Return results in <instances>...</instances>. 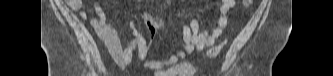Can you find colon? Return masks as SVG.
Segmentation results:
<instances>
[{"label":"colon","instance_id":"obj_1","mask_svg":"<svg viewBox=\"0 0 333 76\" xmlns=\"http://www.w3.org/2000/svg\"><path fill=\"white\" fill-rule=\"evenodd\" d=\"M251 2L252 1H250V0H245L244 1V4L246 5V6H249L250 4H251ZM220 49H221V45H218V46H215V47H213V48H211L210 50H209V56L210 57H214V56H216L217 54H218V52L220 51Z\"/></svg>","mask_w":333,"mask_h":76}]
</instances>
